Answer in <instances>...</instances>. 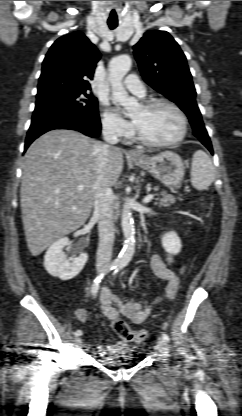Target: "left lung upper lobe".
Here are the masks:
<instances>
[{"label": "left lung upper lobe", "instance_id": "1", "mask_svg": "<svg viewBox=\"0 0 242 416\" xmlns=\"http://www.w3.org/2000/svg\"><path fill=\"white\" fill-rule=\"evenodd\" d=\"M133 49L144 81L186 113L201 142L209 140L186 57L173 37L166 31H148Z\"/></svg>", "mask_w": 242, "mask_h": 416}]
</instances>
